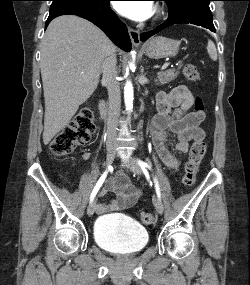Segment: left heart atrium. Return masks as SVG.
I'll return each mask as SVG.
<instances>
[{
	"instance_id": "1",
	"label": "left heart atrium",
	"mask_w": 250,
	"mask_h": 285,
	"mask_svg": "<svg viewBox=\"0 0 250 285\" xmlns=\"http://www.w3.org/2000/svg\"><path fill=\"white\" fill-rule=\"evenodd\" d=\"M114 7L123 16L136 21L148 19L154 11L151 1H117Z\"/></svg>"
}]
</instances>
